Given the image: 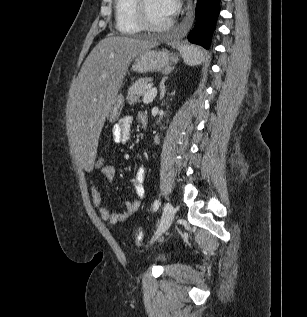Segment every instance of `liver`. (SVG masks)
Returning a JSON list of instances; mask_svg holds the SVG:
<instances>
[{"label": "liver", "instance_id": "obj_1", "mask_svg": "<svg viewBox=\"0 0 307 317\" xmlns=\"http://www.w3.org/2000/svg\"><path fill=\"white\" fill-rule=\"evenodd\" d=\"M158 44L150 39L109 35L83 63L67 111V131L75 153L81 156L79 166L84 175L96 170V142L131 61Z\"/></svg>", "mask_w": 307, "mask_h": 317}]
</instances>
